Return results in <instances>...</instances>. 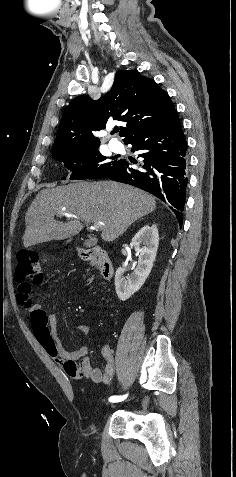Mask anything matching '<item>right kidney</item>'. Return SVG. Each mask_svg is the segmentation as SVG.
Wrapping results in <instances>:
<instances>
[{
  "label": "right kidney",
  "instance_id": "obj_1",
  "mask_svg": "<svg viewBox=\"0 0 236 477\" xmlns=\"http://www.w3.org/2000/svg\"><path fill=\"white\" fill-rule=\"evenodd\" d=\"M135 251L139 253L137 268L126 278L125 269L119 267L115 274V289L120 300L129 299L145 283L156 258L159 234L156 225H145L131 241ZM143 245V246H141Z\"/></svg>",
  "mask_w": 236,
  "mask_h": 477
}]
</instances>
